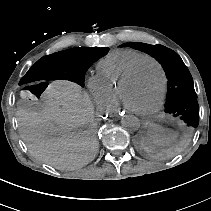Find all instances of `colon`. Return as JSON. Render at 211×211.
Masks as SVG:
<instances>
[{
  "instance_id": "obj_1",
  "label": "colon",
  "mask_w": 211,
  "mask_h": 211,
  "mask_svg": "<svg viewBox=\"0 0 211 211\" xmlns=\"http://www.w3.org/2000/svg\"><path fill=\"white\" fill-rule=\"evenodd\" d=\"M47 89V83L36 82L26 86L22 90V98L26 101H35L39 99Z\"/></svg>"
}]
</instances>
